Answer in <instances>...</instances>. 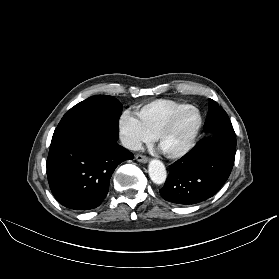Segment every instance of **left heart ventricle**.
I'll list each match as a JSON object with an SVG mask.
<instances>
[{"label":"left heart ventricle","mask_w":279,"mask_h":279,"mask_svg":"<svg viewBox=\"0 0 279 279\" xmlns=\"http://www.w3.org/2000/svg\"><path fill=\"white\" fill-rule=\"evenodd\" d=\"M197 123L198 115L194 110H188L183 113L162 139L161 149L165 152L180 150L189 140Z\"/></svg>","instance_id":"obj_1"}]
</instances>
